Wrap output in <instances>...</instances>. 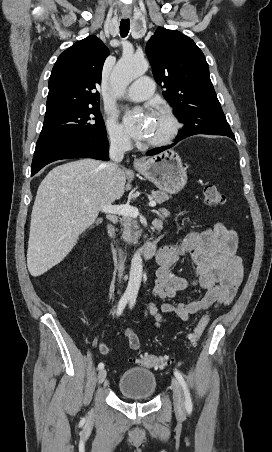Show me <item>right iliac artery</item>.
Segmentation results:
<instances>
[{
  "label": "right iliac artery",
  "mask_w": 272,
  "mask_h": 452,
  "mask_svg": "<svg viewBox=\"0 0 272 452\" xmlns=\"http://www.w3.org/2000/svg\"><path fill=\"white\" fill-rule=\"evenodd\" d=\"M129 297L128 296H122V298L120 299L118 306H117V315H120L123 312V309L125 308L127 302L129 301ZM104 368V364L101 362L98 364V369L101 370Z\"/></svg>",
  "instance_id": "obj_1"
}]
</instances>
